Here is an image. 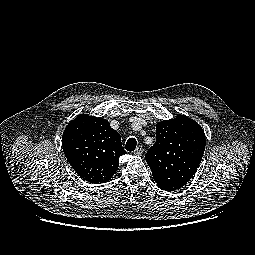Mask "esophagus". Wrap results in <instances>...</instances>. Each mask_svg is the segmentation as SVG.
<instances>
[{
	"label": "esophagus",
	"instance_id": "esophagus-1",
	"mask_svg": "<svg viewBox=\"0 0 255 255\" xmlns=\"http://www.w3.org/2000/svg\"><path fill=\"white\" fill-rule=\"evenodd\" d=\"M143 153V147L141 145L137 146V148L134 151L135 155H141Z\"/></svg>",
	"mask_w": 255,
	"mask_h": 255
}]
</instances>
